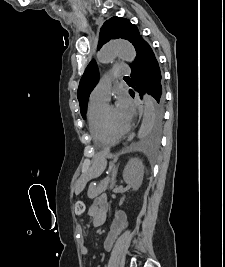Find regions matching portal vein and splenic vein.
<instances>
[{
  "mask_svg": "<svg viewBox=\"0 0 225 267\" xmlns=\"http://www.w3.org/2000/svg\"><path fill=\"white\" fill-rule=\"evenodd\" d=\"M104 182H107L108 181V178H106L105 180H103Z\"/></svg>",
  "mask_w": 225,
  "mask_h": 267,
  "instance_id": "18ae733b",
  "label": "portal vein and splenic vein"
}]
</instances>
